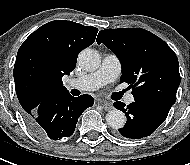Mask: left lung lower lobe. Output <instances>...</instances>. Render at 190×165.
<instances>
[{"label":"left lung lower lobe","instance_id":"1","mask_svg":"<svg viewBox=\"0 0 190 165\" xmlns=\"http://www.w3.org/2000/svg\"><path fill=\"white\" fill-rule=\"evenodd\" d=\"M127 107L118 101L114 103L116 109L126 114L127 122L119 129L122 136L140 139L152 134L166 119L173 104L158 99H134Z\"/></svg>","mask_w":190,"mask_h":165}]
</instances>
